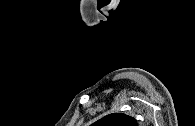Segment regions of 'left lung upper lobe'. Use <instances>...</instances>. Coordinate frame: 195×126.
<instances>
[{"instance_id": "left-lung-upper-lobe-1", "label": "left lung upper lobe", "mask_w": 195, "mask_h": 126, "mask_svg": "<svg viewBox=\"0 0 195 126\" xmlns=\"http://www.w3.org/2000/svg\"><path fill=\"white\" fill-rule=\"evenodd\" d=\"M92 126H138L137 121L126 114L113 113L92 124Z\"/></svg>"}]
</instances>
